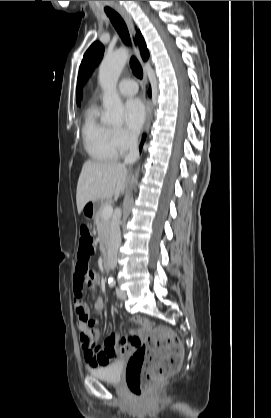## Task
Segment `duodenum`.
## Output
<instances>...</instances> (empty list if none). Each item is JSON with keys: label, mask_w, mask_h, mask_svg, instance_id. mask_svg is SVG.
Returning <instances> with one entry per match:
<instances>
[{"label": "duodenum", "mask_w": 271, "mask_h": 418, "mask_svg": "<svg viewBox=\"0 0 271 418\" xmlns=\"http://www.w3.org/2000/svg\"><path fill=\"white\" fill-rule=\"evenodd\" d=\"M110 255L108 252H105L104 257H103V267L105 270H109L110 268Z\"/></svg>", "instance_id": "410a0bca"}]
</instances>
